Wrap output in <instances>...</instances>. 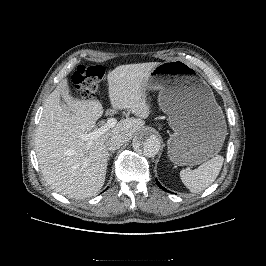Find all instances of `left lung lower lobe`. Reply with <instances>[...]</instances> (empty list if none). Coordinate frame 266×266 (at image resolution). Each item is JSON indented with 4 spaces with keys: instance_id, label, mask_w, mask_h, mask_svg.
<instances>
[{
    "instance_id": "left-lung-lower-lobe-1",
    "label": "left lung lower lobe",
    "mask_w": 266,
    "mask_h": 266,
    "mask_svg": "<svg viewBox=\"0 0 266 266\" xmlns=\"http://www.w3.org/2000/svg\"><path fill=\"white\" fill-rule=\"evenodd\" d=\"M156 183L158 184V186H159L162 190H164V191H166V192H170V191H168L167 189H165L163 186H161V184L158 182L157 179H156Z\"/></svg>"
}]
</instances>
